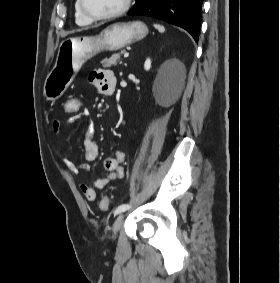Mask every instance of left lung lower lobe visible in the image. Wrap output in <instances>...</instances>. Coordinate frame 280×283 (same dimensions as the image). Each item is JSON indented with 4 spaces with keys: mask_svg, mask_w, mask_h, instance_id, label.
I'll return each instance as SVG.
<instances>
[{
    "mask_svg": "<svg viewBox=\"0 0 280 283\" xmlns=\"http://www.w3.org/2000/svg\"><path fill=\"white\" fill-rule=\"evenodd\" d=\"M203 0H137L128 15H143L164 20L189 32L197 42Z\"/></svg>",
    "mask_w": 280,
    "mask_h": 283,
    "instance_id": "left-lung-lower-lobe-1",
    "label": "left lung lower lobe"
}]
</instances>
